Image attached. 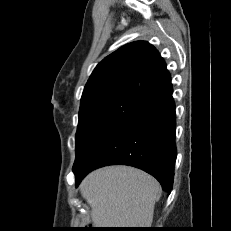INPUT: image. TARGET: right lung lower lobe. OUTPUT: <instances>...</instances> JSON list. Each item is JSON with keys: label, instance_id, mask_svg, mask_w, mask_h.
I'll return each mask as SVG.
<instances>
[{"label": "right lung lower lobe", "instance_id": "obj_1", "mask_svg": "<svg viewBox=\"0 0 231 231\" xmlns=\"http://www.w3.org/2000/svg\"><path fill=\"white\" fill-rule=\"evenodd\" d=\"M172 93L146 103L98 145L83 164L73 170L76 186L94 169L122 164L146 171L164 190L170 191L176 160Z\"/></svg>", "mask_w": 231, "mask_h": 231}]
</instances>
